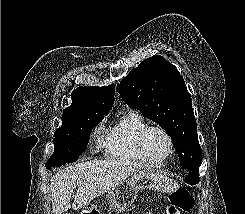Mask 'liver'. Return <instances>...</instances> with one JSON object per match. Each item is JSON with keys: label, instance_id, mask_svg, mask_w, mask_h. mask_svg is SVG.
Instances as JSON below:
<instances>
[{"label": "liver", "instance_id": "obj_1", "mask_svg": "<svg viewBox=\"0 0 245 214\" xmlns=\"http://www.w3.org/2000/svg\"><path fill=\"white\" fill-rule=\"evenodd\" d=\"M138 171V165L126 159L90 160L68 166L51 179L52 212L63 214L69 209L78 210Z\"/></svg>", "mask_w": 245, "mask_h": 214}]
</instances>
